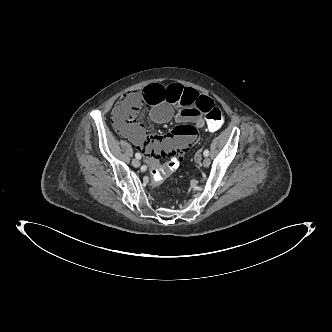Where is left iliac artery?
I'll return each mask as SVG.
<instances>
[{
	"label": "left iliac artery",
	"mask_w": 332,
	"mask_h": 332,
	"mask_svg": "<svg viewBox=\"0 0 332 332\" xmlns=\"http://www.w3.org/2000/svg\"><path fill=\"white\" fill-rule=\"evenodd\" d=\"M203 155L205 157L209 156V150L208 149H205L204 152H203Z\"/></svg>",
	"instance_id": "1"
}]
</instances>
